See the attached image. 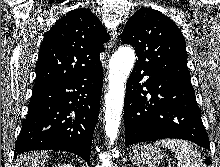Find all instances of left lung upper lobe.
Wrapping results in <instances>:
<instances>
[{
	"label": "left lung upper lobe",
	"instance_id": "1",
	"mask_svg": "<svg viewBox=\"0 0 220 167\" xmlns=\"http://www.w3.org/2000/svg\"><path fill=\"white\" fill-rule=\"evenodd\" d=\"M121 39L135 48L136 65L168 77L190 80L183 34L161 12L140 8L127 21Z\"/></svg>",
	"mask_w": 220,
	"mask_h": 167
}]
</instances>
